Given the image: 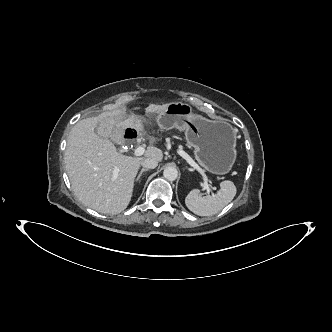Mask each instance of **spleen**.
Returning a JSON list of instances; mask_svg holds the SVG:
<instances>
[{"label":"spleen","instance_id":"1","mask_svg":"<svg viewBox=\"0 0 332 332\" xmlns=\"http://www.w3.org/2000/svg\"><path fill=\"white\" fill-rule=\"evenodd\" d=\"M235 195L234 183L226 180L220 183L219 191L212 195L202 196L198 189H193L185 198V203L193 213L199 216H210L219 213L234 199Z\"/></svg>","mask_w":332,"mask_h":332}]
</instances>
